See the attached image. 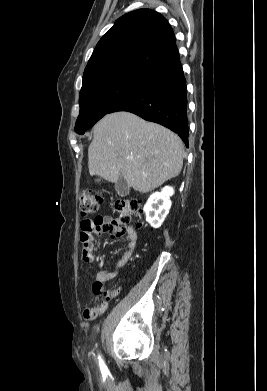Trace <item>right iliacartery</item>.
Returning a JSON list of instances; mask_svg holds the SVG:
<instances>
[{"label":"right iliac artery","instance_id":"obj_1","mask_svg":"<svg viewBox=\"0 0 267 391\" xmlns=\"http://www.w3.org/2000/svg\"><path fill=\"white\" fill-rule=\"evenodd\" d=\"M99 364L102 371L106 369V366L100 357H99Z\"/></svg>","mask_w":267,"mask_h":391}]
</instances>
